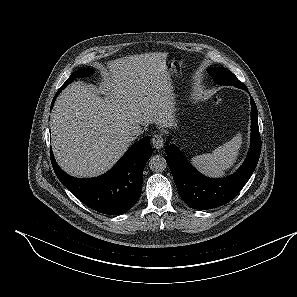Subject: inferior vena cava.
Instances as JSON below:
<instances>
[{
    "instance_id": "1",
    "label": "inferior vena cava",
    "mask_w": 297,
    "mask_h": 297,
    "mask_svg": "<svg viewBox=\"0 0 297 297\" xmlns=\"http://www.w3.org/2000/svg\"><path fill=\"white\" fill-rule=\"evenodd\" d=\"M123 133L126 140L133 141L142 133V129L139 125L128 126Z\"/></svg>"
}]
</instances>
